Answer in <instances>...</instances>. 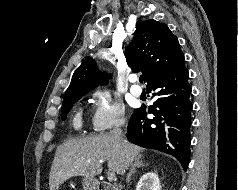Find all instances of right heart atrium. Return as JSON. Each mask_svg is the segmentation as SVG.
I'll list each match as a JSON object with an SVG mask.
<instances>
[{"label":"right heart atrium","mask_w":238,"mask_h":190,"mask_svg":"<svg viewBox=\"0 0 238 190\" xmlns=\"http://www.w3.org/2000/svg\"><path fill=\"white\" fill-rule=\"evenodd\" d=\"M92 108L90 125L95 132H105L115 127L123 126L126 117L122 104L114 101L108 92L98 90L90 100Z\"/></svg>","instance_id":"1"}]
</instances>
